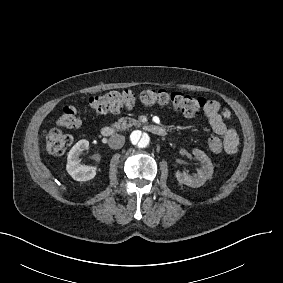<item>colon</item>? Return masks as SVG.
<instances>
[{"mask_svg": "<svg viewBox=\"0 0 283 283\" xmlns=\"http://www.w3.org/2000/svg\"><path fill=\"white\" fill-rule=\"evenodd\" d=\"M146 106L154 104L171 106L187 117H193L200 113L206 104V98L192 96L180 92L154 91L151 89L135 93L132 90H112L107 94L90 99L89 107L97 114L119 113L125 108L133 107L136 102ZM229 109V108H228ZM59 129L49 131L43 136L40 151L44 154H61L72 144V137L62 132V128H79L82 120L78 109L74 105H66L61 109L57 120ZM210 151L218 153L224 148L222 140L218 136H212L208 140Z\"/></svg>", "mask_w": 283, "mask_h": 283, "instance_id": "1", "label": "colon"}]
</instances>
